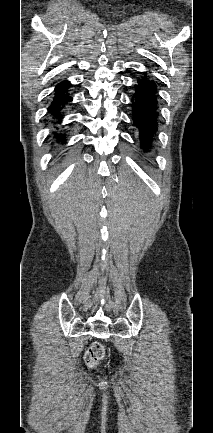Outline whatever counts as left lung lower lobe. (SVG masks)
I'll return each mask as SVG.
<instances>
[{
  "label": "left lung lower lobe",
  "instance_id": "obj_1",
  "mask_svg": "<svg viewBox=\"0 0 213 433\" xmlns=\"http://www.w3.org/2000/svg\"><path fill=\"white\" fill-rule=\"evenodd\" d=\"M156 84L145 75L138 79L132 98V120L139 130V144L142 150L151 148L157 126Z\"/></svg>",
  "mask_w": 213,
  "mask_h": 433
}]
</instances>
